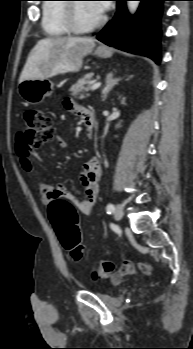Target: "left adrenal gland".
I'll list each match as a JSON object with an SVG mask.
<instances>
[{
  "label": "left adrenal gland",
  "mask_w": 193,
  "mask_h": 349,
  "mask_svg": "<svg viewBox=\"0 0 193 349\" xmlns=\"http://www.w3.org/2000/svg\"><path fill=\"white\" fill-rule=\"evenodd\" d=\"M121 80V78H113V73H109L106 77V83L102 90V101H105L107 98L108 93L113 89L115 85L118 84V82Z\"/></svg>",
  "instance_id": "1"
}]
</instances>
